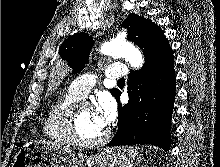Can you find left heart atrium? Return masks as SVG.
Segmentation results:
<instances>
[{
  "label": "left heart atrium",
  "instance_id": "left-heart-atrium-1",
  "mask_svg": "<svg viewBox=\"0 0 220 167\" xmlns=\"http://www.w3.org/2000/svg\"><path fill=\"white\" fill-rule=\"evenodd\" d=\"M116 113L115 104L110 98H102L99 105L94 109L98 123L106 128L114 119Z\"/></svg>",
  "mask_w": 220,
  "mask_h": 167
}]
</instances>
